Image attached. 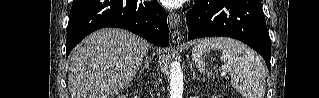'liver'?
I'll list each match as a JSON object with an SVG mask.
<instances>
[{"label":"liver","mask_w":319,"mask_h":98,"mask_svg":"<svg viewBox=\"0 0 319 98\" xmlns=\"http://www.w3.org/2000/svg\"><path fill=\"white\" fill-rule=\"evenodd\" d=\"M149 48L143 38L118 28L90 34L69 55L71 98H112L134 78Z\"/></svg>","instance_id":"6515ba94"}]
</instances>
